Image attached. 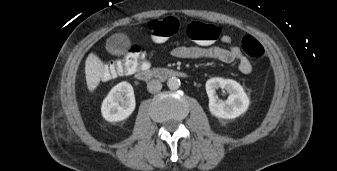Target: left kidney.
Returning a JSON list of instances; mask_svg holds the SVG:
<instances>
[{
	"label": "left kidney",
	"instance_id": "1",
	"mask_svg": "<svg viewBox=\"0 0 337 171\" xmlns=\"http://www.w3.org/2000/svg\"><path fill=\"white\" fill-rule=\"evenodd\" d=\"M218 88L225 89L229 94L226 101L219 100L216 96ZM206 92L209 97V110L218 118L234 119L246 112L249 107L247 94L235 80L211 78L206 82Z\"/></svg>",
	"mask_w": 337,
	"mask_h": 171
}]
</instances>
